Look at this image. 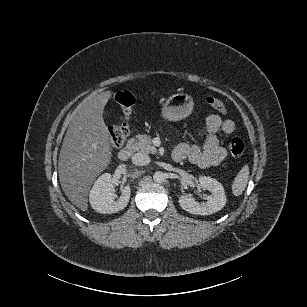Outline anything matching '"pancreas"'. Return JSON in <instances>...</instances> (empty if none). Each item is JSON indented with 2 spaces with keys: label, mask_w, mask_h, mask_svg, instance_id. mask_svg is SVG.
<instances>
[{
  "label": "pancreas",
  "mask_w": 307,
  "mask_h": 307,
  "mask_svg": "<svg viewBox=\"0 0 307 307\" xmlns=\"http://www.w3.org/2000/svg\"><path fill=\"white\" fill-rule=\"evenodd\" d=\"M136 150L143 153L156 154L157 149L152 145L151 137L146 134H138L135 136Z\"/></svg>",
  "instance_id": "pancreas-1"
}]
</instances>
